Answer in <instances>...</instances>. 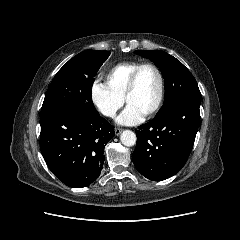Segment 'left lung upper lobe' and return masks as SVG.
I'll return each mask as SVG.
<instances>
[{"label": "left lung upper lobe", "instance_id": "left-lung-upper-lobe-1", "mask_svg": "<svg viewBox=\"0 0 240 240\" xmlns=\"http://www.w3.org/2000/svg\"><path fill=\"white\" fill-rule=\"evenodd\" d=\"M135 53L152 60L162 72L165 99L160 110L181 99L201 100V93L195 78L175 57L159 50H137Z\"/></svg>", "mask_w": 240, "mask_h": 240}]
</instances>
